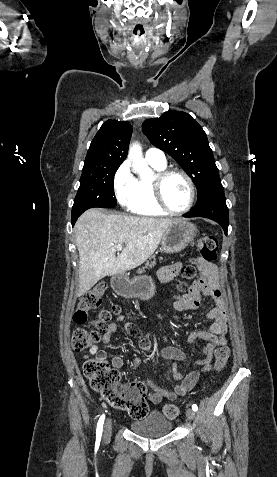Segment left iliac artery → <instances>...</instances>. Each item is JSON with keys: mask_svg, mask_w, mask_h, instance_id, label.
Returning a JSON list of instances; mask_svg holds the SVG:
<instances>
[{"mask_svg": "<svg viewBox=\"0 0 277 477\" xmlns=\"http://www.w3.org/2000/svg\"><path fill=\"white\" fill-rule=\"evenodd\" d=\"M192 409H193V411H197V410H198L197 405H196V404H193V405H192Z\"/></svg>", "mask_w": 277, "mask_h": 477, "instance_id": "1", "label": "left iliac artery"}]
</instances>
